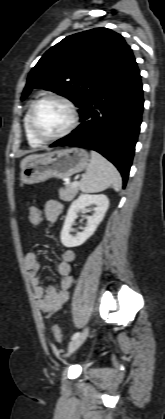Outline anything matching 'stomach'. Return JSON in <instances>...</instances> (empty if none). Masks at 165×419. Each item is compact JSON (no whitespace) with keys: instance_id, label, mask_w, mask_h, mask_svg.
Instances as JSON below:
<instances>
[{"instance_id":"obj_1","label":"stomach","mask_w":165,"mask_h":419,"mask_svg":"<svg viewBox=\"0 0 165 419\" xmlns=\"http://www.w3.org/2000/svg\"><path fill=\"white\" fill-rule=\"evenodd\" d=\"M89 165V155L81 148L58 150L30 159L21 169L25 184L44 182L50 178L65 179Z\"/></svg>"}]
</instances>
